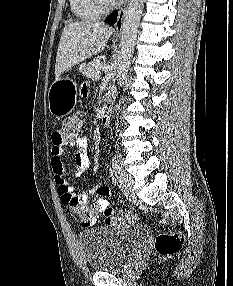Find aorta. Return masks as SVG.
Returning <instances> with one entry per match:
<instances>
[{
  "mask_svg": "<svg viewBox=\"0 0 233 286\" xmlns=\"http://www.w3.org/2000/svg\"><path fill=\"white\" fill-rule=\"evenodd\" d=\"M144 2L145 0H130L125 12L116 75L119 84L125 80L129 70Z\"/></svg>",
  "mask_w": 233,
  "mask_h": 286,
  "instance_id": "762f6f07",
  "label": "aorta"
}]
</instances>
